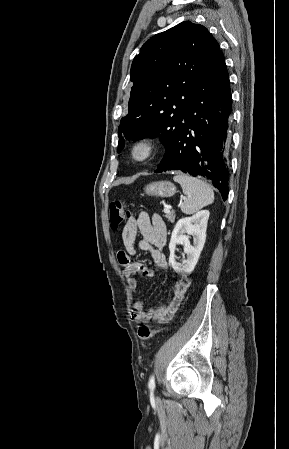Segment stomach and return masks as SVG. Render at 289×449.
Returning a JSON list of instances; mask_svg holds the SVG:
<instances>
[{"label":"stomach","instance_id":"0dacf381","mask_svg":"<svg viewBox=\"0 0 289 449\" xmlns=\"http://www.w3.org/2000/svg\"><path fill=\"white\" fill-rule=\"evenodd\" d=\"M144 190L147 195L161 197H171L176 193V187L169 181L152 182Z\"/></svg>","mask_w":289,"mask_h":449}]
</instances>
